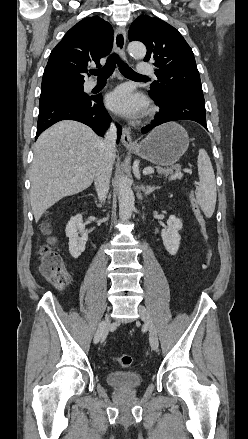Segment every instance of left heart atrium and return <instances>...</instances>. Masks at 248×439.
Wrapping results in <instances>:
<instances>
[{
  "instance_id": "obj_1",
  "label": "left heart atrium",
  "mask_w": 248,
  "mask_h": 439,
  "mask_svg": "<svg viewBox=\"0 0 248 439\" xmlns=\"http://www.w3.org/2000/svg\"><path fill=\"white\" fill-rule=\"evenodd\" d=\"M106 105L117 114L134 118L145 110L146 102L141 96L135 94L131 87L120 86L108 94Z\"/></svg>"
}]
</instances>
